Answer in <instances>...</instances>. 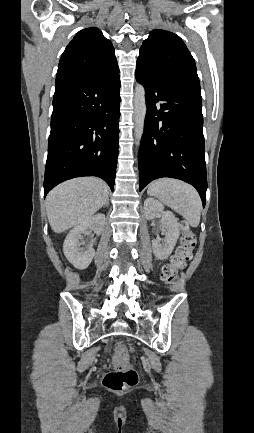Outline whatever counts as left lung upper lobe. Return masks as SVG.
I'll list each match as a JSON object with an SVG mask.
<instances>
[{"label":"left lung upper lobe","instance_id":"1","mask_svg":"<svg viewBox=\"0 0 254 433\" xmlns=\"http://www.w3.org/2000/svg\"><path fill=\"white\" fill-rule=\"evenodd\" d=\"M137 65L160 79L200 91L195 61L182 39L172 32H150L140 48Z\"/></svg>","mask_w":254,"mask_h":433}]
</instances>
